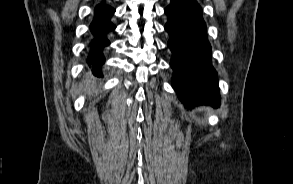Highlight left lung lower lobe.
Segmentation results:
<instances>
[{"label": "left lung lower lobe", "instance_id": "left-lung-lower-lobe-1", "mask_svg": "<svg viewBox=\"0 0 293 184\" xmlns=\"http://www.w3.org/2000/svg\"><path fill=\"white\" fill-rule=\"evenodd\" d=\"M169 33L168 47L172 51V86L185 107L220 103L216 71L211 64L202 9L196 0H171L165 8Z\"/></svg>", "mask_w": 293, "mask_h": 184}]
</instances>
